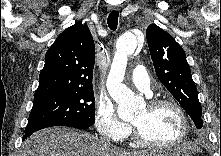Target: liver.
I'll return each mask as SVG.
<instances>
[{
  "label": "liver",
  "mask_w": 221,
  "mask_h": 156,
  "mask_svg": "<svg viewBox=\"0 0 221 156\" xmlns=\"http://www.w3.org/2000/svg\"><path fill=\"white\" fill-rule=\"evenodd\" d=\"M188 152L196 146L185 145ZM20 156H149L146 152H128L102 141L89 133L66 127H53L38 131L26 139Z\"/></svg>",
  "instance_id": "6515ba94"
}]
</instances>
